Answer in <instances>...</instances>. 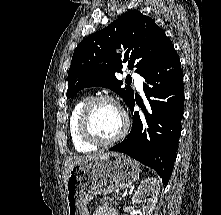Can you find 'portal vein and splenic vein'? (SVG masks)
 <instances>
[{"label": "portal vein and splenic vein", "instance_id": "1", "mask_svg": "<svg viewBox=\"0 0 221 215\" xmlns=\"http://www.w3.org/2000/svg\"><path fill=\"white\" fill-rule=\"evenodd\" d=\"M121 199H122V197L120 196V197H119V200H121Z\"/></svg>", "mask_w": 221, "mask_h": 215}]
</instances>
